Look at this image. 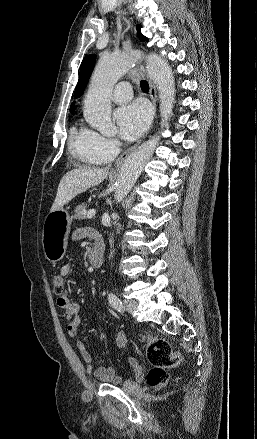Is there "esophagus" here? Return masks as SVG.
<instances>
[{
    "label": "esophagus",
    "mask_w": 257,
    "mask_h": 439,
    "mask_svg": "<svg viewBox=\"0 0 257 439\" xmlns=\"http://www.w3.org/2000/svg\"><path fill=\"white\" fill-rule=\"evenodd\" d=\"M148 77V76H147ZM148 83H149V87H150V98L152 100L153 106L156 109V101H157V91H156V87L154 85V83L152 82V80L148 77ZM142 140H139L134 146H132L131 148H129L126 152H124L115 162V166L119 167L123 164V162L127 159V157L130 155V153L138 146V144L141 142Z\"/></svg>",
    "instance_id": "esophagus-1"
}]
</instances>
